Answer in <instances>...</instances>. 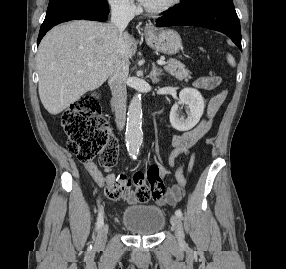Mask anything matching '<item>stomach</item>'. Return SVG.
Returning <instances> with one entry per match:
<instances>
[{
	"label": "stomach",
	"mask_w": 286,
	"mask_h": 269,
	"mask_svg": "<svg viewBox=\"0 0 286 269\" xmlns=\"http://www.w3.org/2000/svg\"><path fill=\"white\" fill-rule=\"evenodd\" d=\"M145 38L152 49L168 55L178 53L182 47L180 35L172 29H153L146 32Z\"/></svg>",
	"instance_id": "obj_1"
}]
</instances>
